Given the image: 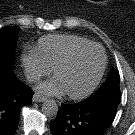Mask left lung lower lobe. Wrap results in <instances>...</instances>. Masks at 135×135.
Returning <instances> with one entry per match:
<instances>
[{
	"mask_svg": "<svg viewBox=\"0 0 135 135\" xmlns=\"http://www.w3.org/2000/svg\"><path fill=\"white\" fill-rule=\"evenodd\" d=\"M120 90L93 93L82 102L62 104L50 122L53 135H104L120 103Z\"/></svg>",
	"mask_w": 135,
	"mask_h": 135,
	"instance_id": "1",
	"label": "left lung lower lobe"
}]
</instances>
